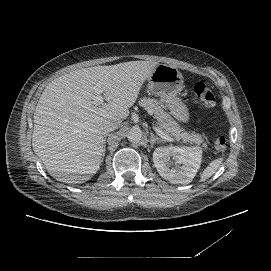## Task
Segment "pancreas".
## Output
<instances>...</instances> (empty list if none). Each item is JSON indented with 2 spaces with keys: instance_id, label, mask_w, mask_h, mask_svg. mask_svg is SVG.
I'll list each match as a JSON object with an SVG mask.
<instances>
[{
  "instance_id": "1",
  "label": "pancreas",
  "mask_w": 271,
  "mask_h": 271,
  "mask_svg": "<svg viewBox=\"0 0 271 271\" xmlns=\"http://www.w3.org/2000/svg\"><path fill=\"white\" fill-rule=\"evenodd\" d=\"M139 105L144 107L146 110H151L154 118L157 119L158 125L163 132L173 137L176 141L182 140L183 143L190 142L197 145H202V147L207 148V144L200 134L185 132L177 122L164 111L165 106L156 99L152 98H142L139 101Z\"/></svg>"
}]
</instances>
